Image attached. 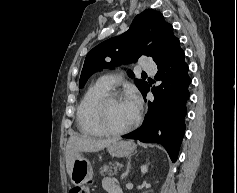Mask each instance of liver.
Listing matches in <instances>:
<instances>
[{
    "mask_svg": "<svg viewBox=\"0 0 237 193\" xmlns=\"http://www.w3.org/2000/svg\"><path fill=\"white\" fill-rule=\"evenodd\" d=\"M117 138L95 139L86 135L77 136L71 135L68 139L65 157L67 173L70 176L75 155L80 152H98L105 147H108Z\"/></svg>",
    "mask_w": 237,
    "mask_h": 193,
    "instance_id": "liver-1",
    "label": "liver"
}]
</instances>
